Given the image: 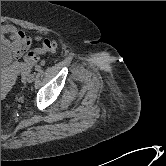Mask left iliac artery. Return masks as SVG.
I'll return each mask as SVG.
<instances>
[{
	"label": "left iliac artery",
	"instance_id": "left-iliac-artery-1",
	"mask_svg": "<svg viewBox=\"0 0 166 166\" xmlns=\"http://www.w3.org/2000/svg\"><path fill=\"white\" fill-rule=\"evenodd\" d=\"M35 70H36V71H40V66H36V67H35Z\"/></svg>",
	"mask_w": 166,
	"mask_h": 166
}]
</instances>
